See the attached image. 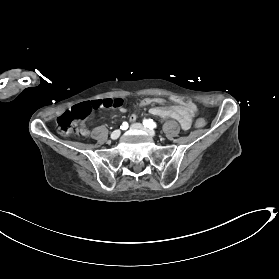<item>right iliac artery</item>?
I'll list each match as a JSON object with an SVG mask.
<instances>
[{"label": "right iliac artery", "mask_w": 279, "mask_h": 279, "mask_svg": "<svg viewBox=\"0 0 279 279\" xmlns=\"http://www.w3.org/2000/svg\"><path fill=\"white\" fill-rule=\"evenodd\" d=\"M128 128V123L127 122H123L121 125V129L122 130H126Z\"/></svg>", "instance_id": "1"}]
</instances>
